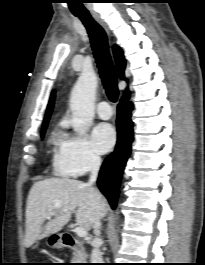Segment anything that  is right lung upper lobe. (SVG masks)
<instances>
[{
  "mask_svg": "<svg viewBox=\"0 0 205 265\" xmlns=\"http://www.w3.org/2000/svg\"><path fill=\"white\" fill-rule=\"evenodd\" d=\"M113 51H114V56L116 60L118 75L121 79H124L125 78L124 77L125 59L123 57V52L117 45L113 47ZM128 95H129V91L127 90L123 99H127ZM54 98H55V92L53 91L50 97L48 107H47L46 115H45L44 122H43V127L44 126L47 127V124H48V121H49V118H50V115L53 109V105H54Z\"/></svg>",
  "mask_w": 205,
  "mask_h": 265,
  "instance_id": "obj_1",
  "label": "right lung upper lobe"
}]
</instances>
